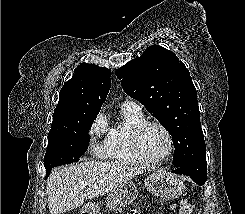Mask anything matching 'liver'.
<instances>
[{"mask_svg": "<svg viewBox=\"0 0 245 214\" xmlns=\"http://www.w3.org/2000/svg\"><path fill=\"white\" fill-rule=\"evenodd\" d=\"M141 172L127 163L109 161H85L55 169L46 187L49 211L61 214L73 210L85 199L112 192ZM83 183H88V187H82Z\"/></svg>", "mask_w": 245, "mask_h": 214, "instance_id": "liver-1", "label": "liver"}]
</instances>
